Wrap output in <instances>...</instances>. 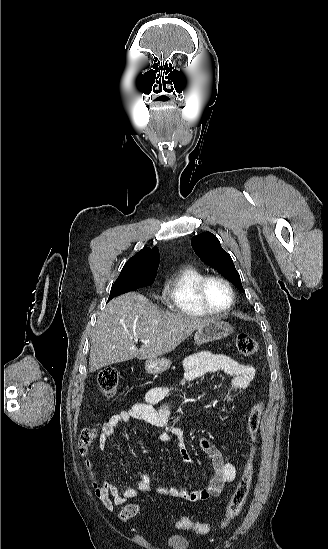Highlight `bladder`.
Instances as JSON below:
<instances>
[{"label":"bladder","instance_id":"1","mask_svg":"<svg viewBox=\"0 0 328 549\" xmlns=\"http://www.w3.org/2000/svg\"><path fill=\"white\" fill-rule=\"evenodd\" d=\"M169 545L176 548H185L188 546V540L183 536L172 535L169 538Z\"/></svg>","mask_w":328,"mask_h":549}]
</instances>
